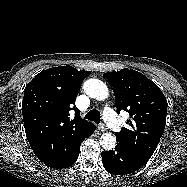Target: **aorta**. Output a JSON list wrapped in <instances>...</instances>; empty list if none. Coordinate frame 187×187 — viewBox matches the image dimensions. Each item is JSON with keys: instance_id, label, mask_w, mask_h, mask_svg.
I'll use <instances>...</instances> for the list:
<instances>
[{"instance_id": "obj_1", "label": "aorta", "mask_w": 187, "mask_h": 187, "mask_svg": "<svg viewBox=\"0 0 187 187\" xmlns=\"http://www.w3.org/2000/svg\"><path fill=\"white\" fill-rule=\"evenodd\" d=\"M85 93L96 100H105L108 95L107 86L99 79H89L84 83ZM100 145L105 150H112L116 145V137L111 132L104 133L100 138Z\"/></svg>"}]
</instances>
